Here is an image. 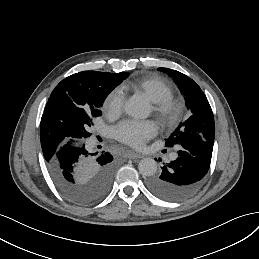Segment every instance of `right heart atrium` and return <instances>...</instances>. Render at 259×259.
I'll return each instance as SVG.
<instances>
[{"instance_id": "1", "label": "right heart atrium", "mask_w": 259, "mask_h": 259, "mask_svg": "<svg viewBox=\"0 0 259 259\" xmlns=\"http://www.w3.org/2000/svg\"><path fill=\"white\" fill-rule=\"evenodd\" d=\"M107 110L112 114H119L124 108L123 95L117 90H112L105 101Z\"/></svg>"}]
</instances>
